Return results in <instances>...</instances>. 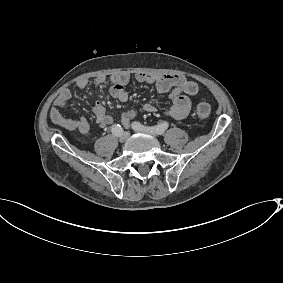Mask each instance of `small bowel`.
<instances>
[{
  "label": "small bowel",
  "mask_w": 283,
  "mask_h": 283,
  "mask_svg": "<svg viewBox=\"0 0 283 283\" xmlns=\"http://www.w3.org/2000/svg\"><path fill=\"white\" fill-rule=\"evenodd\" d=\"M133 78L140 82L153 85L157 93H169L171 106L164 111L165 115L174 119H184L191 109L190 98L198 93V85L196 82L187 79L179 74H155L136 72ZM131 75L128 72H118L110 76V94L113 98L126 102L128 93L125 90L129 83ZM106 82L104 76L95 78L94 84L101 86ZM88 79L82 78L77 81L76 85L79 89H85L88 86ZM71 99V92L68 88H63L54 101V106L50 111L51 120L70 131H78L83 135L88 134L89 124L84 117L78 119H69L63 116L62 109L66 107ZM141 112L154 113L157 111L155 105L146 103L141 106ZM93 113L97 124L101 128H106L113 123V118L107 113L102 102L97 101L93 107ZM136 115V110L130 109L122 114L121 122L126 127H130V121Z\"/></svg>",
  "instance_id": "c3829d8e"
}]
</instances>
